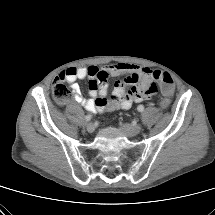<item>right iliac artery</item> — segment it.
<instances>
[{"label": "right iliac artery", "mask_w": 215, "mask_h": 215, "mask_svg": "<svg viewBox=\"0 0 215 215\" xmlns=\"http://www.w3.org/2000/svg\"><path fill=\"white\" fill-rule=\"evenodd\" d=\"M91 118H92V116H91V115H87V116L85 117V120L88 122V121H90V120H91Z\"/></svg>", "instance_id": "82829eb1"}]
</instances>
